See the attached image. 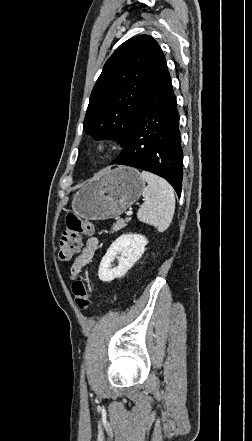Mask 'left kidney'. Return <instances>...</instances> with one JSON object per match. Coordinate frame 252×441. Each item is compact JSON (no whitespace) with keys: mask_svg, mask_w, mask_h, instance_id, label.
<instances>
[{"mask_svg":"<svg viewBox=\"0 0 252 441\" xmlns=\"http://www.w3.org/2000/svg\"><path fill=\"white\" fill-rule=\"evenodd\" d=\"M148 240L141 234H123L109 247L99 266L98 276L103 282L120 278L135 264L145 251ZM120 256L117 257V255ZM117 258L118 266L111 268Z\"/></svg>","mask_w":252,"mask_h":441,"instance_id":"5707ae66","label":"left kidney"}]
</instances>
